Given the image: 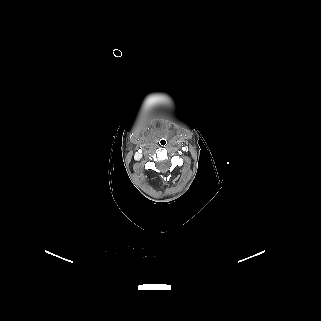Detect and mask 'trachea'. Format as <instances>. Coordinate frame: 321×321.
<instances>
[{"label":"trachea","mask_w":321,"mask_h":321,"mask_svg":"<svg viewBox=\"0 0 321 321\" xmlns=\"http://www.w3.org/2000/svg\"><path fill=\"white\" fill-rule=\"evenodd\" d=\"M160 145L163 146V147L166 146L167 145V139L166 138H161L160 139Z\"/></svg>","instance_id":"trachea-1"}]
</instances>
